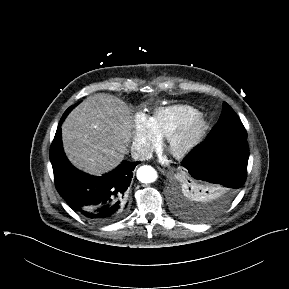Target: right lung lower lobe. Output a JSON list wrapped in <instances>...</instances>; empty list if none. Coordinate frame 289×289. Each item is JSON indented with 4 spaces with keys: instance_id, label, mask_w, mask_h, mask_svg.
<instances>
[{
    "instance_id": "98d812e1",
    "label": "right lung lower lobe",
    "mask_w": 289,
    "mask_h": 289,
    "mask_svg": "<svg viewBox=\"0 0 289 289\" xmlns=\"http://www.w3.org/2000/svg\"><path fill=\"white\" fill-rule=\"evenodd\" d=\"M63 120L62 117L49 154L58 193L89 222L105 224L122 218L127 212L132 171L139 163L123 161L101 177L79 171L70 164L63 151Z\"/></svg>"
}]
</instances>
